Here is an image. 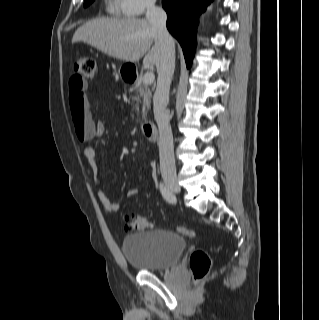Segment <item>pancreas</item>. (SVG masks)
Segmentation results:
<instances>
[{"label": "pancreas", "mask_w": 319, "mask_h": 320, "mask_svg": "<svg viewBox=\"0 0 319 320\" xmlns=\"http://www.w3.org/2000/svg\"><path fill=\"white\" fill-rule=\"evenodd\" d=\"M131 98L133 102H136L135 109L139 111V105L142 107V118L146 119L147 112L151 107V91L147 85L140 82L135 83L130 89Z\"/></svg>", "instance_id": "1"}]
</instances>
